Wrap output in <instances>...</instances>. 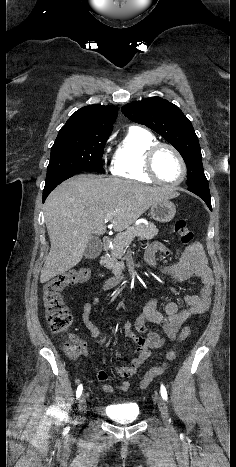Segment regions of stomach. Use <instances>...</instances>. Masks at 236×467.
Here are the masks:
<instances>
[{"label": "stomach", "mask_w": 236, "mask_h": 467, "mask_svg": "<svg viewBox=\"0 0 236 467\" xmlns=\"http://www.w3.org/2000/svg\"><path fill=\"white\" fill-rule=\"evenodd\" d=\"M150 214L158 222H170L176 214V206L169 200L159 201L151 206Z\"/></svg>", "instance_id": "stomach-1"}]
</instances>
